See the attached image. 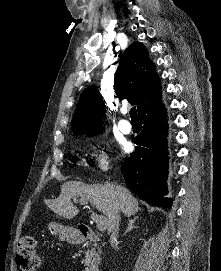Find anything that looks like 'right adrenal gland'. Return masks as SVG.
Instances as JSON below:
<instances>
[{
  "label": "right adrenal gland",
  "instance_id": "2a0ac1e0",
  "mask_svg": "<svg viewBox=\"0 0 221 271\" xmlns=\"http://www.w3.org/2000/svg\"><path fill=\"white\" fill-rule=\"evenodd\" d=\"M136 219H138V215H135V217H133V219H128L127 229H125V233H126V231H130V229H133V227H136V225H135Z\"/></svg>",
  "mask_w": 221,
  "mask_h": 271
}]
</instances>
